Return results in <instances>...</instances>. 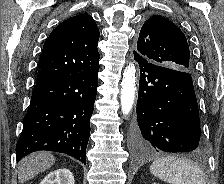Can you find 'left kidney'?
I'll return each instance as SVG.
<instances>
[{"label":"left kidney","instance_id":"left-kidney-1","mask_svg":"<svg viewBox=\"0 0 224 184\" xmlns=\"http://www.w3.org/2000/svg\"><path fill=\"white\" fill-rule=\"evenodd\" d=\"M152 184H158V183L154 182V183H152Z\"/></svg>","mask_w":224,"mask_h":184}]
</instances>
